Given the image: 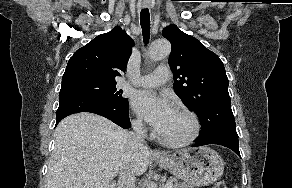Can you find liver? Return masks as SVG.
I'll return each mask as SVG.
<instances>
[{
    "instance_id": "1",
    "label": "liver",
    "mask_w": 292,
    "mask_h": 188,
    "mask_svg": "<svg viewBox=\"0 0 292 188\" xmlns=\"http://www.w3.org/2000/svg\"><path fill=\"white\" fill-rule=\"evenodd\" d=\"M127 134L108 119L92 113L63 119L55 130L47 188H108L125 167L137 176L144 174L149 149H131Z\"/></svg>"
}]
</instances>
